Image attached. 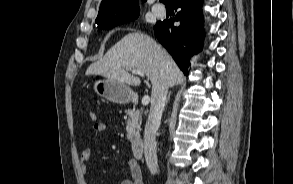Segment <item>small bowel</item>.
<instances>
[{
	"mask_svg": "<svg viewBox=\"0 0 293 184\" xmlns=\"http://www.w3.org/2000/svg\"><path fill=\"white\" fill-rule=\"evenodd\" d=\"M93 129L97 133L105 132L107 129V125L104 122H96L93 125ZM92 159V151L90 148H85L80 153V162L82 164V168L84 172L88 170V164ZM130 178L123 180L120 184H143L142 173L140 166L137 161L134 159H130L127 163Z\"/></svg>",
	"mask_w": 293,
	"mask_h": 184,
	"instance_id": "1",
	"label": "small bowel"
}]
</instances>
